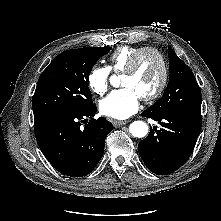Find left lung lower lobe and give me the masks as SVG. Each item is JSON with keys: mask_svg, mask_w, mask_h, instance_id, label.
I'll return each instance as SVG.
<instances>
[{"mask_svg": "<svg viewBox=\"0 0 221 221\" xmlns=\"http://www.w3.org/2000/svg\"><path fill=\"white\" fill-rule=\"evenodd\" d=\"M143 117L158 121L162 128L150 127L149 135L138 145L146 167L155 174L167 175L189 159L199 136L201 114H168L155 116L146 110Z\"/></svg>", "mask_w": 221, "mask_h": 221, "instance_id": "1", "label": "left lung lower lobe"}]
</instances>
